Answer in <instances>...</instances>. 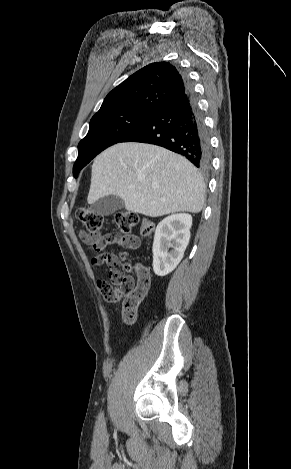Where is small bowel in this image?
Returning <instances> with one entry per match:
<instances>
[{
    "instance_id": "1",
    "label": "small bowel",
    "mask_w": 291,
    "mask_h": 469,
    "mask_svg": "<svg viewBox=\"0 0 291 469\" xmlns=\"http://www.w3.org/2000/svg\"><path fill=\"white\" fill-rule=\"evenodd\" d=\"M80 237H81L82 241L88 245L89 249L94 252L95 255H98V256L102 255L107 260H116L117 259L116 256L111 254V253H101L102 249L99 250L96 247H94L92 245V243L89 241V239H88L85 232H81ZM131 238L133 240V243L131 245H129L128 247L131 248V249H136L139 245V241H138L137 237H135V236H132ZM102 282H104V281L98 280L97 284L99 285ZM138 286L143 287L145 289V292L147 293V291L149 290V287H150V278H149L148 273H147V276H146L145 279L140 278L138 280Z\"/></svg>"
}]
</instances>
